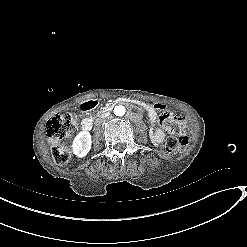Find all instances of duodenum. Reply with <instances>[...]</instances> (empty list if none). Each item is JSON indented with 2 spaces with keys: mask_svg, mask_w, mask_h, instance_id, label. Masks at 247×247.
Returning <instances> with one entry per match:
<instances>
[{
  "mask_svg": "<svg viewBox=\"0 0 247 247\" xmlns=\"http://www.w3.org/2000/svg\"><path fill=\"white\" fill-rule=\"evenodd\" d=\"M119 104L134 105V104H139V102L135 101L133 99H130V98H118L109 107H107L105 109V112L111 111L116 105H119ZM96 105H97V102L94 100L87 101V102H84L80 105V110L83 112H86V111H89V110L95 108ZM92 126H93V119L92 118H86L82 121L81 128L83 130L89 131V130H91Z\"/></svg>",
  "mask_w": 247,
  "mask_h": 247,
  "instance_id": "1",
  "label": "duodenum"
}]
</instances>
